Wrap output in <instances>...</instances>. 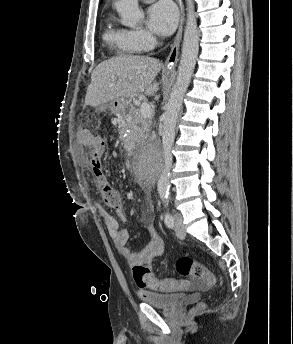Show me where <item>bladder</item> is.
<instances>
[{"label":"bladder","mask_w":293,"mask_h":344,"mask_svg":"<svg viewBox=\"0 0 293 344\" xmlns=\"http://www.w3.org/2000/svg\"><path fill=\"white\" fill-rule=\"evenodd\" d=\"M142 300L145 304H148L152 307L172 310L188 299L185 295L179 293L149 291L143 294Z\"/></svg>","instance_id":"obj_1"}]
</instances>
